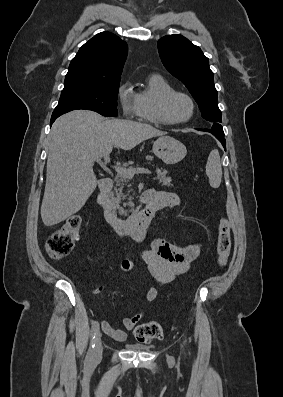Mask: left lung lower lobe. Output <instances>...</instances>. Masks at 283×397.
<instances>
[{
    "label": "left lung lower lobe",
    "mask_w": 283,
    "mask_h": 397,
    "mask_svg": "<svg viewBox=\"0 0 283 397\" xmlns=\"http://www.w3.org/2000/svg\"><path fill=\"white\" fill-rule=\"evenodd\" d=\"M198 130H202V131H206V132L212 133L222 143L224 149L226 150V141H225V138H224L223 134L216 133V132H214L211 129H198Z\"/></svg>",
    "instance_id": "obj_1"
}]
</instances>
